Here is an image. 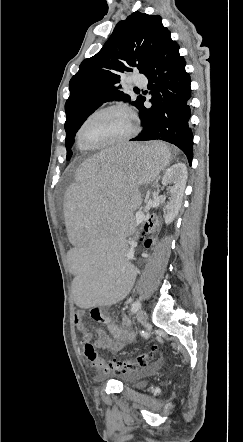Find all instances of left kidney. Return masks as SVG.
Masks as SVG:
<instances>
[{
	"mask_svg": "<svg viewBox=\"0 0 243 442\" xmlns=\"http://www.w3.org/2000/svg\"><path fill=\"white\" fill-rule=\"evenodd\" d=\"M187 180V167L184 163H177L166 170L165 176L162 179L164 186L173 184L170 187L169 202L165 206L164 219L166 224L173 222L178 215L182 204L184 188Z\"/></svg>",
	"mask_w": 243,
	"mask_h": 442,
	"instance_id": "5707ae66",
	"label": "left kidney"
}]
</instances>
